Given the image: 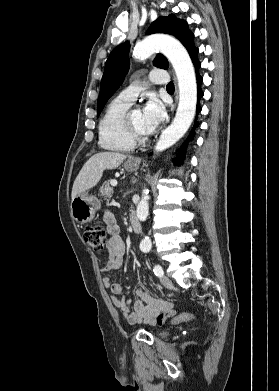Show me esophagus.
<instances>
[{
    "mask_svg": "<svg viewBox=\"0 0 279 391\" xmlns=\"http://www.w3.org/2000/svg\"><path fill=\"white\" fill-rule=\"evenodd\" d=\"M177 99H178V95H177V91H176V96H175V100L177 101Z\"/></svg>",
    "mask_w": 279,
    "mask_h": 391,
    "instance_id": "obj_1",
    "label": "esophagus"
}]
</instances>
